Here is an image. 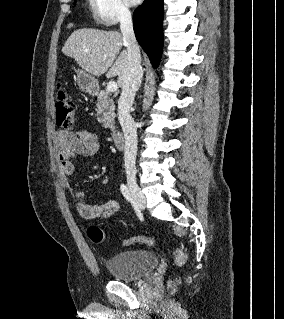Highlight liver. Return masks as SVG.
I'll return each instance as SVG.
<instances>
[{
	"label": "liver",
	"mask_w": 284,
	"mask_h": 319,
	"mask_svg": "<svg viewBox=\"0 0 284 319\" xmlns=\"http://www.w3.org/2000/svg\"><path fill=\"white\" fill-rule=\"evenodd\" d=\"M123 46V36L118 31L83 28L69 36L62 52L74 58L92 76H101L106 72L108 78L117 76V84L122 87L128 66V52L126 49L121 51Z\"/></svg>",
	"instance_id": "obj_1"
}]
</instances>
